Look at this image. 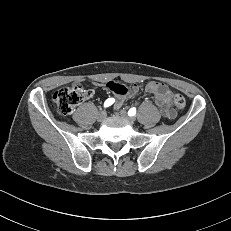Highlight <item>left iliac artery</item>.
Returning a JSON list of instances; mask_svg holds the SVG:
<instances>
[{
    "mask_svg": "<svg viewBox=\"0 0 231 231\" xmlns=\"http://www.w3.org/2000/svg\"><path fill=\"white\" fill-rule=\"evenodd\" d=\"M135 114H136V108H135V107L131 108V109L128 111V115H129V116H134Z\"/></svg>",
    "mask_w": 231,
    "mask_h": 231,
    "instance_id": "obj_1",
    "label": "left iliac artery"
}]
</instances>
